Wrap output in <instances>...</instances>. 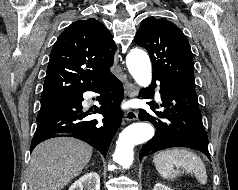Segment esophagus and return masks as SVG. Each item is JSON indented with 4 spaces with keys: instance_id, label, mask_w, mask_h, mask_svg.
<instances>
[{
    "instance_id": "esophagus-1",
    "label": "esophagus",
    "mask_w": 238,
    "mask_h": 190,
    "mask_svg": "<svg viewBox=\"0 0 238 190\" xmlns=\"http://www.w3.org/2000/svg\"><path fill=\"white\" fill-rule=\"evenodd\" d=\"M125 95L127 96V98H131L134 97L138 94L139 89L138 87L129 81L125 82ZM138 118V114L137 112L133 111V110H128L125 114H124V119L126 121H133L136 120Z\"/></svg>"
}]
</instances>
